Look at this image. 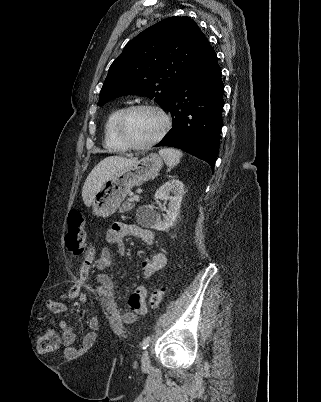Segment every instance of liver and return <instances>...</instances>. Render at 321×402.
I'll return each instance as SVG.
<instances>
[{"mask_svg": "<svg viewBox=\"0 0 321 402\" xmlns=\"http://www.w3.org/2000/svg\"><path fill=\"white\" fill-rule=\"evenodd\" d=\"M137 158L109 156L101 160L89 173L82 188V198L90 206L95 192L118 170L134 163Z\"/></svg>", "mask_w": 321, "mask_h": 402, "instance_id": "6515ba94", "label": "liver"}]
</instances>
